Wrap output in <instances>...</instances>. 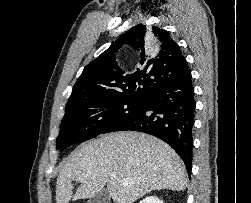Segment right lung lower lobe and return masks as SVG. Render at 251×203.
<instances>
[{
  "label": "right lung lower lobe",
  "mask_w": 251,
  "mask_h": 203,
  "mask_svg": "<svg viewBox=\"0 0 251 203\" xmlns=\"http://www.w3.org/2000/svg\"><path fill=\"white\" fill-rule=\"evenodd\" d=\"M195 108L194 87L188 69L178 79L152 91L144 99L143 106L112 131H139L160 138L180 155L190 175Z\"/></svg>",
  "instance_id": "98d812e1"
}]
</instances>
